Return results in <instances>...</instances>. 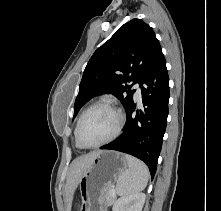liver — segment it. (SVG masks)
I'll use <instances>...</instances> for the list:
<instances>
[{
	"label": "liver",
	"mask_w": 221,
	"mask_h": 211,
	"mask_svg": "<svg viewBox=\"0 0 221 211\" xmlns=\"http://www.w3.org/2000/svg\"><path fill=\"white\" fill-rule=\"evenodd\" d=\"M99 153L100 151L91 152L76 158L71 163L65 187L67 211H70L71 209L74 192L79 184L84 170L91 164V162Z\"/></svg>",
	"instance_id": "6515ba94"
}]
</instances>
